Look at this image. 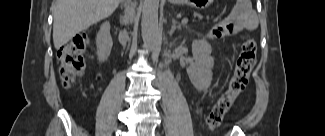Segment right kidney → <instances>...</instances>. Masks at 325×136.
<instances>
[{"label": "right kidney", "mask_w": 325, "mask_h": 136, "mask_svg": "<svg viewBox=\"0 0 325 136\" xmlns=\"http://www.w3.org/2000/svg\"><path fill=\"white\" fill-rule=\"evenodd\" d=\"M97 46V56L100 62H104L110 55L113 41L110 35V24L109 22H104L96 37Z\"/></svg>", "instance_id": "right-kidney-1"}]
</instances>
